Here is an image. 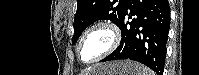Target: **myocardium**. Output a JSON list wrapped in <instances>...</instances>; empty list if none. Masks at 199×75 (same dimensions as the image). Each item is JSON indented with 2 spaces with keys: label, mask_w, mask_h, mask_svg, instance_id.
<instances>
[{
  "label": "myocardium",
  "mask_w": 199,
  "mask_h": 75,
  "mask_svg": "<svg viewBox=\"0 0 199 75\" xmlns=\"http://www.w3.org/2000/svg\"><path fill=\"white\" fill-rule=\"evenodd\" d=\"M94 31H104L109 35V44L107 46V48L100 53L97 57H95L94 59L90 60V61H83L81 58V45L83 43V41L85 40V38L91 34ZM121 41V33L120 30L118 28V26L110 21V20H99L95 23H93L92 25H90L85 31L84 33L81 35L77 46H76V56L78 58V60L84 64H94L97 63L99 61H101L102 59H104L105 57H107L108 55H110L111 53H113L119 46Z\"/></svg>",
  "instance_id": "1"
}]
</instances>
